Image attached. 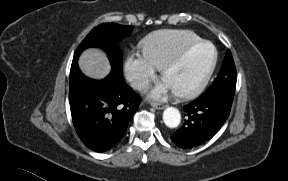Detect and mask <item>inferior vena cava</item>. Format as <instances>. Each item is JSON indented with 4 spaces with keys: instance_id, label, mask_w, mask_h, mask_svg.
<instances>
[{
    "instance_id": "inferior-vena-cava-1",
    "label": "inferior vena cava",
    "mask_w": 288,
    "mask_h": 181,
    "mask_svg": "<svg viewBox=\"0 0 288 181\" xmlns=\"http://www.w3.org/2000/svg\"><path fill=\"white\" fill-rule=\"evenodd\" d=\"M133 88L137 90H144L146 91L149 88V83L147 79L138 78L132 82Z\"/></svg>"
}]
</instances>
